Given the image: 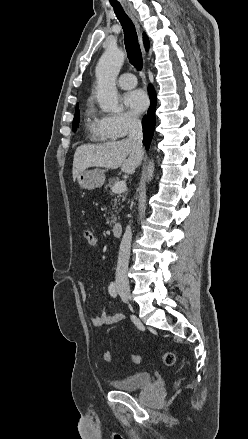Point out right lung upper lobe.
Segmentation results:
<instances>
[{
	"label": "right lung upper lobe",
	"instance_id": "cb5924a9",
	"mask_svg": "<svg viewBox=\"0 0 248 439\" xmlns=\"http://www.w3.org/2000/svg\"><path fill=\"white\" fill-rule=\"evenodd\" d=\"M143 41H144V45H145L146 50H148V48H149V40H148V37L145 34L143 35ZM77 110H79L78 104L76 106V110L75 111H77Z\"/></svg>",
	"mask_w": 248,
	"mask_h": 439
}]
</instances>
